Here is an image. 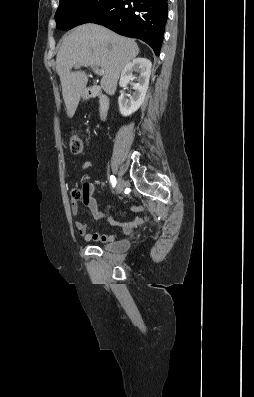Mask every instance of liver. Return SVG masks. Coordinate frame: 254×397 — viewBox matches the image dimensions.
Wrapping results in <instances>:
<instances>
[{
    "instance_id": "obj_1",
    "label": "liver",
    "mask_w": 254,
    "mask_h": 397,
    "mask_svg": "<svg viewBox=\"0 0 254 397\" xmlns=\"http://www.w3.org/2000/svg\"><path fill=\"white\" fill-rule=\"evenodd\" d=\"M139 54L137 43L96 24L74 28L64 39L56 57V71L62 85L67 115L72 118L87 85L85 72L73 67H100L104 70L102 89L114 95L123 68Z\"/></svg>"
}]
</instances>
